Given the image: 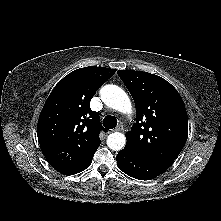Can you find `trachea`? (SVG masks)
<instances>
[{
	"mask_svg": "<svg viewBox=\"0 0 221 221\" xmlns=\"http://www.w3.org/2000/svg\"><path fill=\"white\" fill-rule=\"evenodd\" d=\"M103 126L107 129H113L117 126V119L114 116L108 115L103 120Z\"/></svg>",
	"mask_w": 221,
	"mask_h": 221,
	"instance_id": "obj_1",
	"label": "trachea"
}]
</instances>
